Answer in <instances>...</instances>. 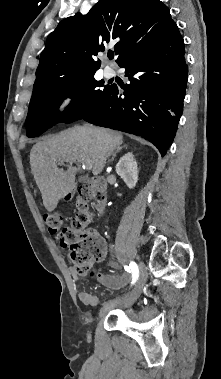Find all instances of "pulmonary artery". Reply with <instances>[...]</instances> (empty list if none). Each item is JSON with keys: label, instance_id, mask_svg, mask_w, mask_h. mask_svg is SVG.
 Returning a JSON list of instances; mask_svg holds the SVG:
<instances>
[{"label": "pulmonary artery", "instance_id": "e3ab8cb5", "mask_svg": "<svg viewBox=\"0 0 221 379\" xmlns=\"http://www.w3.org/2000/svg\"><path fill=\"white\" fill-rule=\"evenodd\" d=\"M114 74H115V71L111 67H105V69H104L105 77L110 78V77L114 76Z\"/></svg>", "mask_w": 221, "mask_h": 379}]
</instances>
